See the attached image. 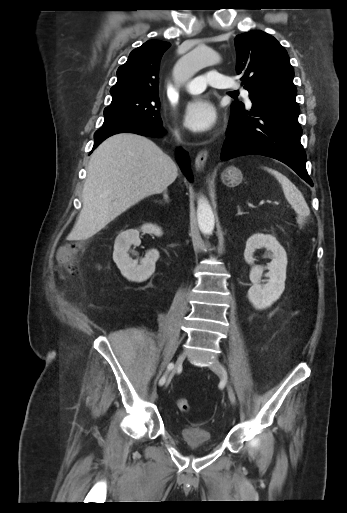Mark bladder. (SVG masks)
I'll use <instances>...</instances> for the list:
<instances>
[{
    "label": "bladder",
    "instance_id": "bladder-1",
    "mask_svg": "<svg viewBox=\"0 0 347 513\" xmlns=\"http://www.w3.org/2000/svg\"><path fill=\"white\" fill-rule=\"evenodd\" d=\"M183 443L191 450L208 452L217 446L212 434L207 429L186 426L180 430Z\"/></svg>",
    "mask_w": 347,
    "mask_h": 513
}]
</instances>
